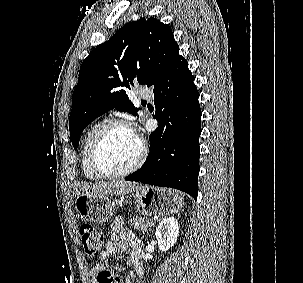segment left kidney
Here are the masks:
<instances>
[{
  "mask_svg": "<svg viewBox=\"0 0 303 283\" xmlns=\"http://www.w3.org/2000/svg\"><path fill=\"white\" fill-rule=\"evenodd\" d=\"M179 234V224L174 217L165 218L156 228L155 236L161 251H167L174 246Z\"/></svg>",
  "mask_w": 303,
  "mask_h": 283,
  "instance_id": "left-kidney-1",
  "label": "left kidney"
}]
</instances>
